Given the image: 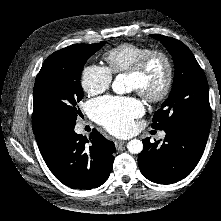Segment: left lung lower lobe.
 Segmentation results:
<instances>
[{"mask_svg":"<svg viewBox=\"0 0 221 221\" xmlns=\"http://www.w3.org/2000/svg\"><path fill=\"white\" fill-rule=\"evenodd\" d=\"M209 128L179 124L165 129L163 141L147 138L139 154L141 173L158 184H172L189 175L199 162L209 135Z\"/></svg>","mask_w":221,"mask_h":221,"instance_id":"left-lung-lower-lobe-1","label":"left lung lower lobe"}]
</instances>
